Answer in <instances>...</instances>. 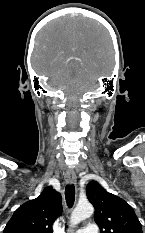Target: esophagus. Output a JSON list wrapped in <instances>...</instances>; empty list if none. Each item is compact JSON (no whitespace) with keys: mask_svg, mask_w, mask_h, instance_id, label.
Returning <instances> with one entry per match:
<instances>
[{"mask_svg":"<svg viewBox=\"0 0 145 233\" xmlns=\"http://www.w3.org/2000/svg\"><path fill=\"white\" fill-rule=\"evenodd\" d=\"M65 180L68 184H75L76 183V175L74 171L68 170L65 174Z\"/></svg>","mask_w":145,"mask_h":233,"instance_id":"obj_1","label":"esophagus"}]
</instances>
